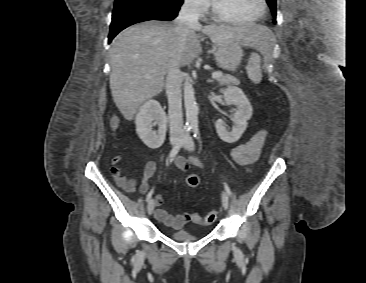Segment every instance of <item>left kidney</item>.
Masks as SVG:
<instances>
[{
	"label": "left kidney",
	"instance_id": "left-kidney-1",
	"mask_svg": "<svg viewBox=\"0 0 366 283\" xmlns=\"http://www.w3.org/2000/svg\"><path fill=\"white\" fill-rule=\"evenodd\" d=\"M223 93L224 100L229 105H235L236 109H233L232 118L235 123L231 132L225 128L223 120L218 119L215 123V128L218 136L221 140L227 143H234L240 139L242 134L247 128V121L252 116V106L243 93V91L237 87H228L227 89L220 90Z\"/></svg>",
	"mask_w": 366,
	"mask_h": 283
}]
</instances>
